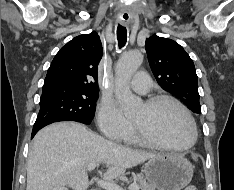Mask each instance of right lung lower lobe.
Masks as SVG:
<instances>
[{
	"label": "right lung lower lobe",
	"mask_w": 234,
	"mask_h": 190,
	"mask_svg": "<svg viewBox=\"0 0 234 190\" xmlns=\"http://www.w3.org/2000/svg\"><path fill=\"white\" fill-rule=\"evenodd\" d=\"M40 129H35L32 131L31 139L35 136V134L39 131Z\"/></svg>",
	"instance_id": "obj_1"
}]
</instances>
